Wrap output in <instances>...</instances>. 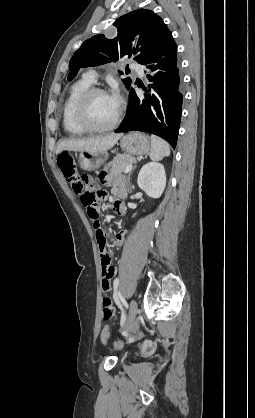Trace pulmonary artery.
Wrapping results in <instances>:
<instances>
[{
  "mask_svg": "<svg viewBox=\"0 0 255 418\" xmlns=\"http://www.w3.org/2000/svg\"><path fill=\"white\" fill-rule=\"evenodd\" d=\"M131 68L136 70L140 75H143V71L141 69V67L137 64H132ZM85 77L90 80L91 82L95 81V74L93 72H88Z\"/></svg>",
  "mask_w": 255,
  "mask_h": 418,
  "instance_id": "pulmonary-artery-1",
  "label": "pulmonary artery"
}]
</instances>
